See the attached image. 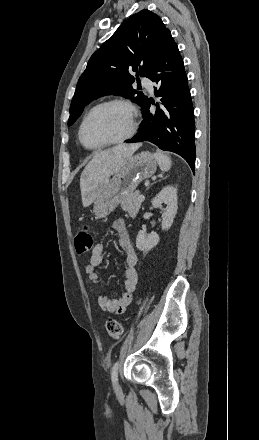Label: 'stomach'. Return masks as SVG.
Instances as JSON below:
<instances>
[{
	"instance_id": "stomach-1",
	"label": "stomach",
	"mask_w": 259,
	"mask_h": 440,
	"mask_svg": "<svg viewBox=\"0 0 259 440\" xmlns=\"http://www.w3.org/2000/svg\"><path fill=\"white\" fill-rule=\"evenodd\" d=\"M157 160L149 151L132 156L125 166L115 173L94 202L96 219L107 217L124 197L135 191L141 181L151 177L157 169Z\"/></svg>"
}]
</instances>
